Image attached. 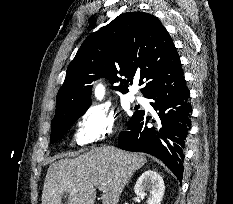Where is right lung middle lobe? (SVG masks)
I'll return each mask as SVG.
<instances>
[{
    "label": "right lung middle lobe",
    "instance_id": "obj_1",
    "mask_svg": "<svg viewBox=\"0 0 233 204\" xmlns=\"http://www.w3.org/2000/svg\"><path fill=\"white\" fill-rule=\"evenodd\" d=\"M86 109L78 110L76 112H73L66 117L52 121V132L50 136V143H54L57 140H59L66 132L67 130L71 127V125L78 119L80 115H82ZM138 112H135L133 116L130 118H134L137 115ZM129 120V121H130Z\"/></svg>",
    "mask_w": 233,
    "mask_h": 204
}]
</instances>
